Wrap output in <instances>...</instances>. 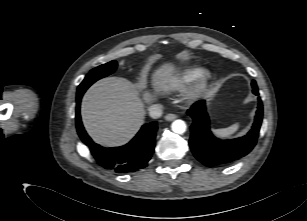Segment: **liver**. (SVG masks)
<instances>
[{
    "instance_id": "obj_1",
    "label": "liver",
    "mask_w": 307,
    "mask_h": 221,
    "mask_svg": "<svg viewBox=\"0 0 307 221\" xmlns=\"http://www.w3.org/2000/svg\"><path fill=\"white\" fill-rule=\"evenodd\" d=\"M173 64L165 63L153 74L156 88L176 81ZM214 90L209 91L212 96ZM150 93L140 97L137 87L125 78L107 77L94 83L81 103V116L90 137L103 146L127 143L145 119L144 103L153 99Z\"/></svg>"
}]
</instances>
